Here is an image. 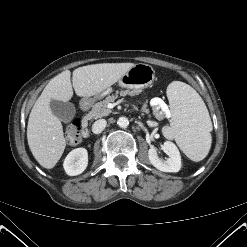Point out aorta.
Listing matches in <instances>:
<instances>
[{"label":"aorta","mask_w":247,"mask_h":247,"mask_svg":"<svg viewBox=\"0 0 247 247\" xmlns=\"http://www.w3.org/2000/svg\"><path fill=\"white\" fill-rule=\"evenodd\" d=\"M117 124L122 128H126L129 125V120L126 117H120Z\"/></svg>","instance_id":"aorta-1"}]
</instances>
